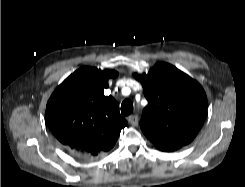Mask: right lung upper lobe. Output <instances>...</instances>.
<instances>
[{"label":"right lung upper lobe","mask_w":245,"mask_h":187,"mask_svg":"<svg viewBox=\"0 0 245 187\" xmlns=\"http://www.w3.org/2000/svg\"><path fill=\"white\" fill-rule=\"evenodd\" d=\"M114 70L84 66L65 79L46 106V121L57 140L67 149L88 158L105 154L128 125L112 96H105Z\"/></svg>","instance_id":"obj_1"}]
</instances>
